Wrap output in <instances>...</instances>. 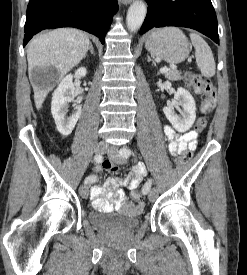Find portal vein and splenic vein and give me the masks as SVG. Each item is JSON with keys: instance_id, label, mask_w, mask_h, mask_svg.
I'll list each match as a JSON object with an SVG mask.
<instances>
[{"instance_id": "18ae733b", "label": "portal vein and splenic vein", "mask_w": 247, "mask_h": 275, "mask_svg": "<svg viewBox=\"0 0 247 275\" xmlns=\"http://www.w3.org/2000/svg\"><path fill=\"white\" fill-rule=\"evenodd\" d=\"M160 72L162 73V74H165L166 72H168V68H161L160 69Z\"/></svg>"}]
</instances>
